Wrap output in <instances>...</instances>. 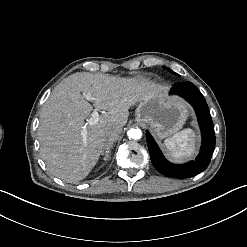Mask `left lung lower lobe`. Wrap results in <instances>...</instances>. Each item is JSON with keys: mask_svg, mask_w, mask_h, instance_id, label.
Masks as SVG:
<instances>
[{"mask_svg": "<svg viewBox=\"0 0 247 247\" xmlns=\"http://www.w3.org/2000/svg\"><path fill=\"white\" fill-rule=\"evenodd\" d=\"M170 94H176L187 100L195 109L202 133V146L194 161L185 164H173L165 159L150 133L146 140L150 157L155 169L167 177L189 178L204 171L211 160L215 148V132L209 108L201 92L191 83L182 82L173 85Z\"/></svg>", "mask_w": 247, "mask_h": 247, "instance_id": "left-lung-lower-lobe-1", "label": "left lung lower lobe"}]
</instances>
